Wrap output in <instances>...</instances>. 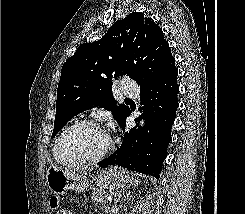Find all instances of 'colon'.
Here are the masks:
<instances>
[{
    "instance_id": "1",
    "label": "colon",
    "mask_w": 245,
    "mask_h": 214,
    "mask_svg": "<svg viewBox=\"0 0 245 214\" xmlns=\"http://www.w3.org/2000/svg\"><path fill=\"white\" fill-rule=\"evenodd\" d=\"M51 204H52V207H56L57 206V201L56 200H53L52 202H51ZM57 214H71V212H68V211H66V210H58L57 211Z\"/></svg>"
}]
</instances>
